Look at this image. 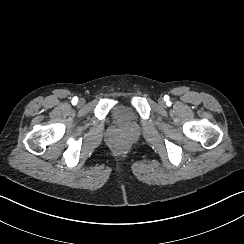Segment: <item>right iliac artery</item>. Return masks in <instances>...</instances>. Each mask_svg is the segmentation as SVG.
I'll return each instance as SVG.
<instances>
[{
    "label": "right iliac artery",
    "mask_w": 244,
    "mask_h": 244,
    "mask_svg": "<svg viewBox=\"0 0 244 244\" xmlns=\"http://www.w3.org/2000/svg\"><path fill=\"white\" fill-rule=\"evenodd\" d=\"M77 101H78V98H77V97H74V98L72 99V104H76Z\"/></svg>",
    "instance_id": "1"
}]
</instances>
